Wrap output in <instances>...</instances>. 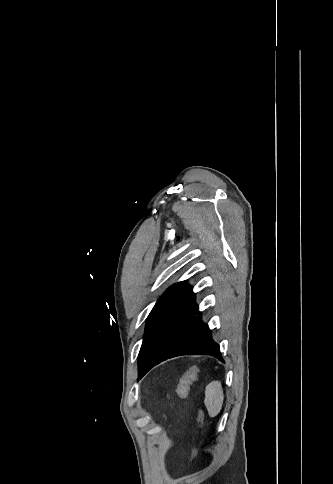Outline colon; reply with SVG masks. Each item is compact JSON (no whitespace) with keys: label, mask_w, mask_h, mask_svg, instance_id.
<instances>
[{"label":"colon","mask_w":333,"mask_h":484,"mask_svg":"<svg viewBox=\"0 0 333 484\" xmlns=\"http://www.w3.org/2000/svg\"><path fill=\"white\" fill-rule=\"evenodd\" d=\"M199 374V368L197 366H192L189 368L184 375L181 377L176 393L180 399H185L188 396L191 384L196 380ZM203 426V412L201 409L197 413V438L201 436ZM198 447L196 446L191 455V460L197 455Z\"/></svg>","instance_id":"1"}]
</instances>
